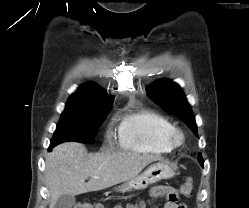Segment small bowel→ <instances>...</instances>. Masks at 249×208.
Returning a JSON list of instances; mask_svg holds the SVG:
<instances>
[{
  "mask_svg": "<svg viewBox=\"0 0 249 208\" xmlns=\"http://www.w3.org/2000/svg\"><path fill=\"white\" fill-rule=\"evenodd\" d=\"M151 195L154 197L166 198L164 208H186L183 203L178 202L176 191L169 186H156L151 189Z\"/></svg>",
  "mask_w": 249,
  "mask_h": 208,
  "instance_id": "obj_1",
  "label": "small bowel"
}]
</instances>
